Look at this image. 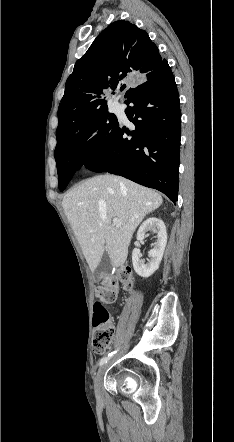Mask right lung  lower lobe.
<instances>
[{"label":"right lung lower lobe","mask_w":234,"mask_h":442,"mask_svg":"<svg viewBox=\"0 0 234 442\" xmlns=\"http://www.w3.org/2000/svg\"><path fill=\"white\" fill-rule=\"evenodd\" d=\"M125 103L131 104L125 114L135 129L129 131L117 123L108 141L85 166L123 176L177 201L181 112L168 63L137 86Z\"/></svg>","instance_id":"right-lung-lower-lobe-1"}]
</instances>
